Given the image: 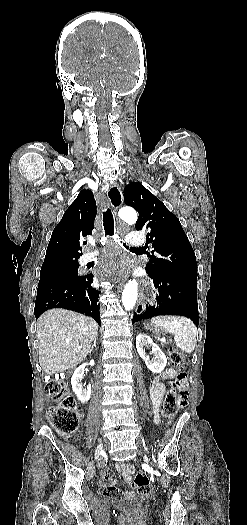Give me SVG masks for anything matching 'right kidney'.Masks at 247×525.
<instances>
[{
  "label": "right kidney",
  "mask_w": 247,
  "mask_h": 525,
  "mask_svg": "<svg viewBox=\"0 0 247 525\" xmlns=\"http://www.w3.org/2000/svg\"><path fill=\"white\" fill-rule=\"evenodd\" d=\"M87 365H90V367H94L95 361L94 359H91L89 363H83V365H80V367H77L75 369L72 377H71V385L72 389L80 403H88L90 397H91V385H85V383H82V379H84V369L87 367Z\"/></svg>",
  "instance_id": "obj_1"
}]
</instances>
